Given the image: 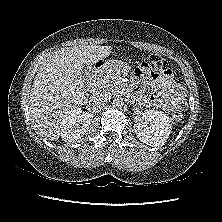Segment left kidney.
<instances>
[{"label":"left kidney","instance_id":"left-kidney-1","mask_svg":"<svg viewBox=\"0 0 222 222\" xmlns=\"http://www.w3.org/2000/svg\"><path fill=\"white\" fill-rule=\"evenodd\" d=\"M142 119V122L134 124V132L139 140L153 147L164 145L172 129L168 115L162 111L146 109Z\"/></svg>","mask_w":222,"mask_h":222}]
</instances>
